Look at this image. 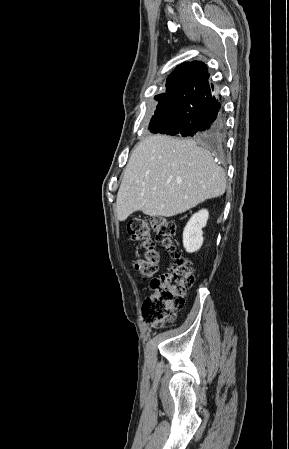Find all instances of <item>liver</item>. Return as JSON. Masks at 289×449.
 I'll return each instance as SVG.
<instances>
[{
    "label": "liver",
    "instance_id": "obj_1",
    "mask_svg": "<svg viewBox=\"0 0 289 449\" xmlns=\"http://www.w3.org/2000/svg\"><path fill=\"white\" fill-rule=\"evenodd\" d=\"M226 178L210 152L192 139L148 136L135 147L117 193V218L136 211L172 217L224 194Z\"/></svg>",
    "mask_w": 289,
    "mask_h": 449
}]
</instances>
